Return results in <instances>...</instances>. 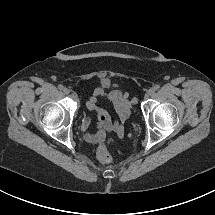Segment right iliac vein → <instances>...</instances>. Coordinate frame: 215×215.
Wrapping results in <instances>:
<instances>
[{"label":"right iliac vein","mask_w":215,"mask_h":215,"mask_svg":"<svg viewBox=\"0 0 215 215\" xmlns=\"http://www.w3.org/2000/svg\"><path fill=\"white\" fill-rule=\"evenodd\" d=\"M63 92H64L65 94H69V93H70V89L67 88V87H65V88H63Z\"/></svg>","instance_id":"obj_1"}]
</instances>
